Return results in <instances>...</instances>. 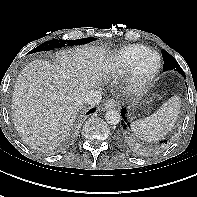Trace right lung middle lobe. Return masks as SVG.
<instances>
[{
	"mask_svg": "<svg viewBox=\"0 0 197 197\" xmlns=\"http://www.w3.org/2000/svg\"><path fill=\"white\" fill-rule=\"evenodd\" d=\"M95 38H83V39H77V40H50L48 42H44L43 44L39 45L35 49H33L30 53H35L39 51H46V50H52L54 48L63 47L65 45L71 46V45H82L89 43L93 41Z\"/></svg>",
	"mask_w": 197,
	"mask_h": 197,
	"instance_id": "obj_1",
	"label": "right lung middle lobe"
}]
</instances>
